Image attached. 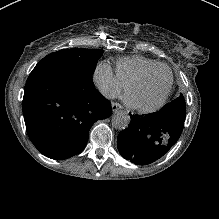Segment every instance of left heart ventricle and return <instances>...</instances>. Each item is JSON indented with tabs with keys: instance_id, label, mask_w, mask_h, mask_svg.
Segmentation results:
<instances>
[{
	"instance_id": "b2bd125f",
	"label": "left heart ventricle",
	"mask_w": 219,
	"mask_h": 219,
	"mask_svg": "<svg viewBox=\"0 0 219 219\" xmlns=\"http://www.w3.org/2000/svg\"><path fill=\"white\" fill-rule=\"evenodd\" d=\"M170 82V74L167 69H161L150 79L141 82L133 89L131 98L135 103L151 105L158 101Z\"/></svg>"
}]
</instances>
